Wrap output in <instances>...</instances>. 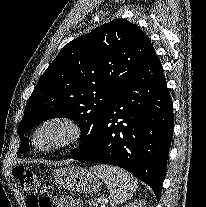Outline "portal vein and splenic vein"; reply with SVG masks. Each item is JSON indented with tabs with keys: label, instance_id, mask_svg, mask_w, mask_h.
<instances>
[{
	"label": "portal vein and splenic vein",
	"instance_id": "portal-vein-and-splenic-vein-1",
	"mask_svg": "<svg viewBox=\"0 0 206 207\" xmlns=\"http://www.w3.org/2000/svg\"><path fill=\"white\" fill-rule=\"evenodd\" d=\"M106 205H105V203L104 202H102V205H101V207H105Z\"/></svg>",
	"mask_w": 206,
	"mask_h": 207
}]
</instances>
